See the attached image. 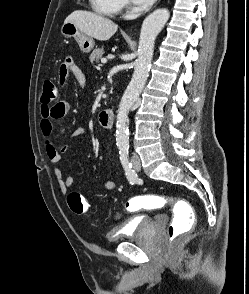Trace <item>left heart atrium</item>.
Returning a JSON list of instances; mask_svg holds the SVG:
<instances>
[{"instance_id":"1","label":"left heart atrium","mask_w":249,"mask_h":294,"mask_svg":"<svg viewBox=\"0 0 249 294\" xmlns=\"http://www.w3.org/2000/svg\"><path fill=\"white\" fill-rule=\"evenodd\" d=\"M152 1L153 0H133V2L136 3V4H149Z\"/></svg>"}]
</instances>
